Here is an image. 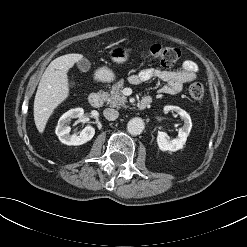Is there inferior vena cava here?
Wrapping results in <instances>:
<instances>
[{"mask_svg":"<svg viewBox=\"0 0 247 247\" xmlns=\"http://www.w3.org/2000/svg\"><path fill=\"white\" fill-rule=\"evenodd\" d=\"M103 114H104V117L110 121L116 120L119 116V112L115 109H112V108H106L103 111Z\"/></svg>","mask_w":247,"mask_h":247,"instance_id":"obj_1","label":"inferior vena cava"}]
</instances>
